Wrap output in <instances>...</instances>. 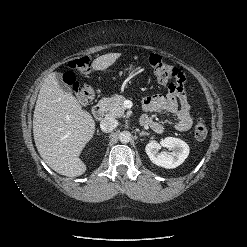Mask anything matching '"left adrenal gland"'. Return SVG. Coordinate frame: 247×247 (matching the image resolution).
<instances>
[{
	"instance_id": "a2214340",
	"label": "left adrenal gland",
	"mask_w": 247,
	"mask_h": 247,
	"mask_svg": "<svg viewBox=\"0 0 247 247\" xmlns=\"http://www.w3.org/2000/svg\"><path fill=\"white\" fill-rule=\"evenodd\" d=\"M138 131H139V130H138ZM139 135H140V136H144V135H149V133L144 132V131H139Z\"/></svg>"
}]
</instances>
